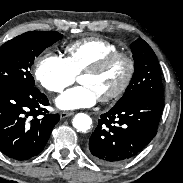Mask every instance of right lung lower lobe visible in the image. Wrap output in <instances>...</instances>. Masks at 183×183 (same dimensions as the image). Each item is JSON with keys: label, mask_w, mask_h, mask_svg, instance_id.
I'll list each match as a JSON object with an SVG mask.
<instances>
[{"label": "right lung lower lobe", "mask_w": 183, "mask_h": 183, "mask_svg": "<svg viewBox=\"0 0 183 183\" xmlns=\"http://www.w3.org/2000/svg\"><path fill=\"white\" fill-rule=\"evenodd\" d=\"M47 97L33 85L0 87V151L16 160L41 153L58 114H47Z\"/></svg>", "instance_id": "right-lung-lower-lobe-1"}]
</instances>
